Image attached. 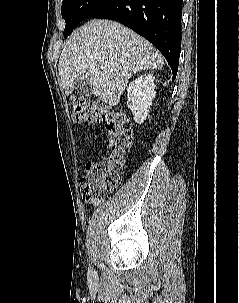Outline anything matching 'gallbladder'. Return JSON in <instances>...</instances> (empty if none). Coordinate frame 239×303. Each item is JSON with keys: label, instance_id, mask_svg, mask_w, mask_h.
Wrapping results in <instances>:
<instances>
[{"label": "gallbladder", "instance_id": "1", "mask_svg": "<svg viewBox=\"0 0 239 303\" xmlns=\"http://www.w3.org/2000/svg\"><path fill=\"white\" fill-rule=\"evenodd\" d=\"M77 91L85 96H89L92 94L91 86L89 80H82L76 84Z\"/></svg>", "mask_w": 239, "mask_h": 303}]
</instances>
